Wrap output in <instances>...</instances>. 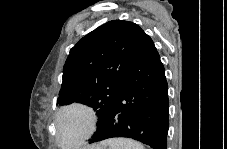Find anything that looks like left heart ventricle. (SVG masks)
<instances>
[{
    "label": "left heart ventricle",
    "mask_w": 227,
    "mask_h": 149,
    "mask_svg": "<svg viewBox=\"0 0 227 149\" xmlns=\"http://www.w3.org/2000/svg\"><path fill=\"white\" fill-rule=\"evenodd\" d=\"M87 119L80 111H73L66 115L61 123L60 137L64 143H73L86 130Z\"/></svg>",
    "instance_id": "obj_1"
}]
</instances>
